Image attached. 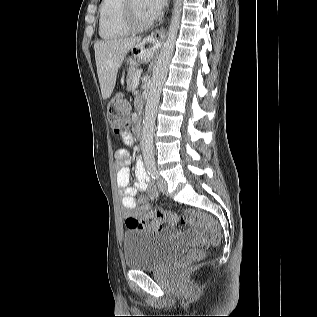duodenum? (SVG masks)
I'll use <instances>...</instances> for the list:
<instances>
[{
	"label": "duodenum",
	"instance_id": "obj_1",
	"mask_svg": "<svg viewBox=\"0 0 317 317\" xmlns=\"http://www.w3.org/2000/svg\"><path fill=\"white\" fill-rule=\"evenodd\" d=\"M136 134L139 138L142 136V126L140 124L136 125Z\"/></svg>",
	"mask_w": 317,
	"mask_h": 317
}]
</instances>
